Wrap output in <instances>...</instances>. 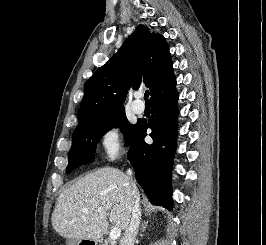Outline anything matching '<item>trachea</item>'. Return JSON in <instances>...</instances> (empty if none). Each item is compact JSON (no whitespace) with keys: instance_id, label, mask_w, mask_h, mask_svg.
<instances>
[{"instance_id":"trachea-1","label":"trachea","mask_w":266,"mask_h":245,"mask_svg":"<svg viewBox=\"0 0 266 245\" xmlns=\"http://www.w3.org/2000/svg\"><path fill=\"white\" fill-rule=\"evenodd\" d=\"M148 95H149V93H148V90H147V91L145 92V94H144V100H145L146 103H149Z\"/></svg>"}]
</instances>
